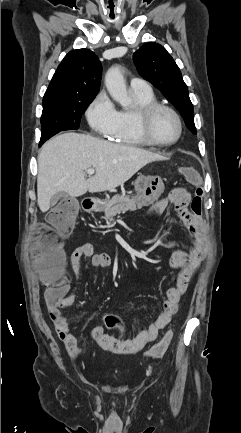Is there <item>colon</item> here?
Segmentation results:
<instances>
[{"mask_svg":"<svg viewBox=\"0 0 241 433\" xmlns=\"http://www.w3.org/2000/svg\"><path fill=\"white\" fill-rule=\"evenodd\" d=\"M182 175L190 181L199 182V177L192 168L182 170ZM203 190L197 187L192 201V210L195 213L201 212V198ZM80 207L77 200H58L55 210L51 213L48 220L55 228L56 235L45 237L41 231L36 233V241L33 245V254L37 263L39 274L43 282L48 286L45 292V298L49 305H55L65 297L66 282L63 277L62 267L64 265L63 243L61 236L67 235L73 225V214H79ZM190 277L187 274H181L178 277L177 285L180 289H186ZM103 324L105 328L115 329L119 336L117 341L110 342L111 348L116 351L123 350L125 338L123 337V323L117 315L103 314ZM173 339V332L167 331L159 342L154 344L146 353L150 359H159L163 357L168 350Z\"/></svg>","mask_w":241,"mask_h":433,"instance_id":"5ec220e1","label":"colon"}]
</instances>
